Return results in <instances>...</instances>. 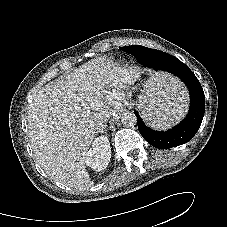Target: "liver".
<instances>
[{
    "label": "liver",
    "mask_w": 227,
    "mask_h": 227,
    "mask_svg": "<svg viewBox=\"0 0 227 227\" xmlns=\"http://www.w3.org/2000/svg\"><path fill=\"white\" fill-rule=\"evenodd\" d=\"M130 76L127 68L97 58L37 92L27 111L28 137L49 177L78 190L93 185L85 157L98 123L107 122L112 109L119 107V89Z\"/></svg>",
    "instance_id": "obj_1"
}]
</instances>
